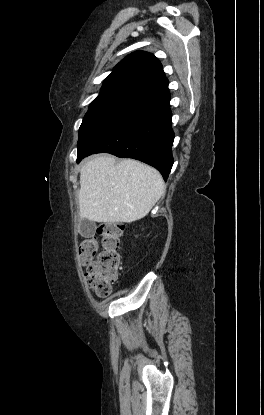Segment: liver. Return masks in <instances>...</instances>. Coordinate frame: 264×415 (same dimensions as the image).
<instances>
[{
	"label": "liver",
	"instance_id": "liver-1",
	"mask_svg": "<svg viewBox=\"0 0 264 415\" xmlns=\"http://www.w3.org/2000/svg\"><path fill=\"white\" fill-rule=\"evenodd\" d=\"M163 193L164 181L155 168L99 155L81 166L79 215L99 223H131L144 218Z\"/></svg>",
	"mask_w": 264,
	"mask_h": 415
}]
</instances>
